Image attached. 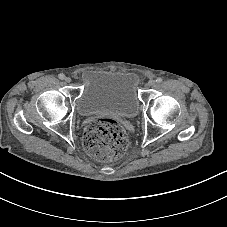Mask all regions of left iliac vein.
Wrapping results in <instances>:
<instances>
[{"mask_svg":"<svg viewBox=\"0 0 227 227\" xmlns=\"http://www.w3.org/2000/svg\"><path fill=\"white\" fill-rule=\"evenodd\" d=\"M155 84H156L155 80H150L148 82V86H150V87L154 86Z\"/></svg>","mask_w":227,"mask_h":227,"instance_id":"1","label":"left iliac vein"}]
</instances>
